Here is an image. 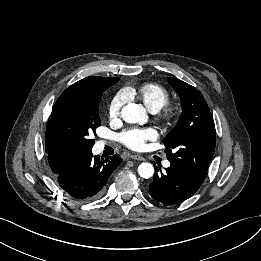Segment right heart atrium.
<instances>
[{
  "label": "right heart atrium",
  "instance_id": "1",
  "mask_svg": "<svg viewBox=\"0 0 261 261\" xmlns=\"http://www.w3.org/2000/svg\"><path fill=\"white\" fill-rule=\"evenodd\" d=\"M127 95L125 90L117 92L110 100L108 105V117L112 121H116L121 116L122 108L125 104Z\"/></svg>",
  "mask_w": 261,
  "mask_h": 261
}]
</instances>
